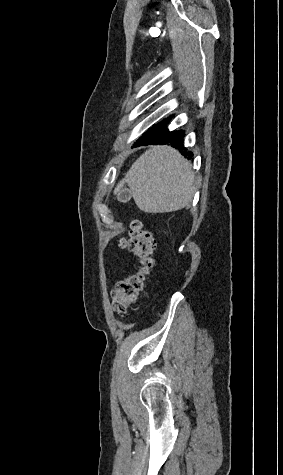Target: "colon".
<instances>
[{"label":"colon","mask_w":283,"mask_h":475,"mask_svg":"<svg viewBox=\"0 0 283 475\" xmlns=\"http://www.w3.org/2000/svg\"><path fill=\"white\" fill-rule=\"evenodd\" d=\"M128 246L137 261L143 265L140 273L128 274L119 279L112 290V309L115 313H126L134 306L140 297L144 284V275L152 262L154 252V239L150 233L143 228L140 222H133L128 242L125 239L120 241L123 248Z\"/></svg>","instance_id":"obj_1"}]
</instances>
